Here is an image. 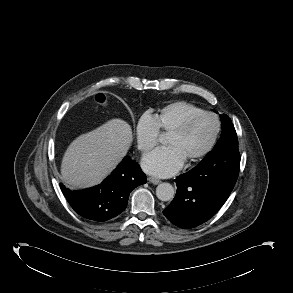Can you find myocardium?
<instances>
[{
    "mask_svg": "<svg viewBox=\"0 0 293 293\" xmlns=\"http://www.w3.org/2000/svg\"><path fill=\"white\" fill-rule=\"evenodd\" d=\"M204 116L211 117L214 120L215 130H214L213 136H212L210 142L208 143V145L201 152H199L198 154H196L195 156H193L192 158L187 160V162L190 164L199 162L200 160L205 158L215 147V145L218 141L220 132H221V121H220L218 115H216L215 113H213L211 111H201L199 113H196V114L190 116L179 127L175 128L174 130H172L170 132V134L184 135L190 130V128L193 126V124L198 119H200L201 117H204Z\"/></svg>",
    "mask_w": 293,
    "mask_h": 293,
    "instance_id": "1",
    "label": "myocardium"
}]
</instances>
